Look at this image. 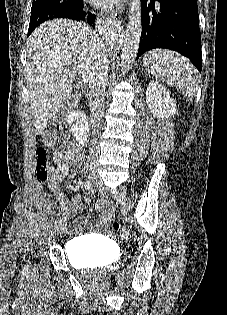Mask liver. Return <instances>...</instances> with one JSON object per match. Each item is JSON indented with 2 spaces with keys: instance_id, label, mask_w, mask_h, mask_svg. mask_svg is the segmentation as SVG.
Here are the masks:
<instances>
[{
  "instance_id": "1",
  "label": "liver",
  "mask_w": 227,
  "mask_h": 315,
  "mask_svg": "<svg viewBox=\"0 0 227 315\" xmlns=\"http://www.w3.org/2000/svg\"><path fill=\"white\" fill-rule=\"evenodd\" d=\"M99 53H106L105 46L84 23L55 19L33 31L27 42L26 80L36 135L71 100L73 67L91 74Z\"/></svg>"
}]
</instances>
